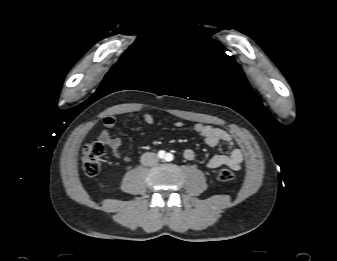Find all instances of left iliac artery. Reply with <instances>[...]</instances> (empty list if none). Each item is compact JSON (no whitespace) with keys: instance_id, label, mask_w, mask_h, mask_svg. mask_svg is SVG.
<instances>
[{"instance_id":"left-iliac-artery-1","label":"left iliac artery","mask_w":337,"mask_h":261,"mask_svg":"<svg viewBox=\"0 0 337 261\" xmlns=\"http://www.w3.org/2000/svg\"><path fill=\"white\" fill-rule=\"evenodd\" d=\"M174 158V156L171 153H167L165 156V160L166 161H172Z\"/></svg>"}]
</instances>
